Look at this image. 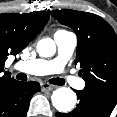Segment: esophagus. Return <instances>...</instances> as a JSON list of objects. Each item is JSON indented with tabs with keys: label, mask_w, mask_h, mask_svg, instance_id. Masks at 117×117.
I'll return each mask as SVG.
<instances>
[{
	"label": "esophagus",
	"mask_w": 117,
	"mask_h": 117,
	"mask_svg": "<svg viewBox=\"0 0 117 117\" xmlns=\"http://www.w3.org/2000/svg\"><path fill=\"white\" fill-rule=\"evenodd\" d=\"M56 88V86L51 85L49 83H42L41 84V90L42 91H52Z\"/></svg>",
	"instance_id": "obj_1"
}]
</instances>
